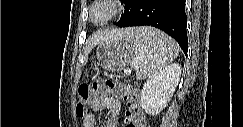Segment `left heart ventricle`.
I'll use <instances>...</instances> for the list:
<instances>
[{"label": "left heart ventricle", "instance_id": "1", "mask_svg": "<svg viewBox=\"0 0 243 127\" xmlns=\"http://www.w3.org/2000/svg\"><path fill=\"white\" fill-rule=\"evenodd\" d=\"M108 14V11L102 7H95L92 11V18L94 20H101Z\"/></svg>", "mask_w": 243, "mask_h": 127}]
</instances>
